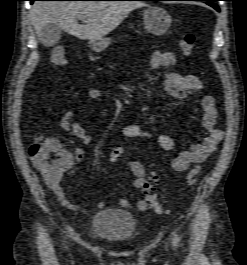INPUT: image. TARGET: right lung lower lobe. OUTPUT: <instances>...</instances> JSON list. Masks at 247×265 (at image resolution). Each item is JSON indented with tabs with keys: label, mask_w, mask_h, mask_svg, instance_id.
<instances>
[{
	"label": "right lung lower lobe",
	"mask_w": 247,
	"mask_h": 265,
	"mask_svg": "<svg viewBox=\"0 0 247 265\" xmlns=\"http://www.w3.org/2000/svg\"><path fill=\"white\" fill-rule=\"evenodd\" d=\"M31 3H33L34 1H37V0H29ZM90 1V0H89ZM97 1V0H95ZM141 1H144V0H141Z\"/></svg>",
	"instance_id": "1"
}]
</instances>
